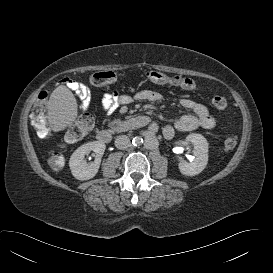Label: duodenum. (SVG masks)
<instances>
[{"label": "duodenum", "instance_id": "410a0bca", "mask_svg": "<svg viewBox=\"0 0 273 273\" xmlns=\"http://www.w3.org/2000/svg\"><path fill=\"white\" fill-rule=\"evenodd\" d=\"M149 123V118L143 115H136L131 118L125 119L118 123L112 129H101L97 132L96 137L101 143H110L113 136L125 133L130 130L142 128Z\"/></svg>", "mask_w": 273, "mask_h": 273}]
</instances>
